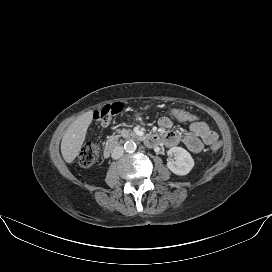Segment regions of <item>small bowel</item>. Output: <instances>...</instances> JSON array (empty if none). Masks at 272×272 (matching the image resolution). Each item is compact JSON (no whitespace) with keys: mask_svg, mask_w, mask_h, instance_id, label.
Returning a JSON list of instances; mask_svg holds the SVG:
<instances>
[{"mask_svg":"<svg viewBox=\"0 0 272 272\" xmlns=\"http://www.w3.org/2000/svg\"><path fill=\"white\" fill-rule=\"evenodd\" d=\"M158 124L161 128L167 130L164 135V142L168 146H175L182 141L193 153L201 152L204 144L211 145L218 140L217 133L203 121H191L188 125V131L184 135L173 130L174 124L169 117H161Z\"/></svg>","mask_w":272,"mask_h":272,"instance_id":"small-bowel-1","label":"small bowel"}]
</instances>
